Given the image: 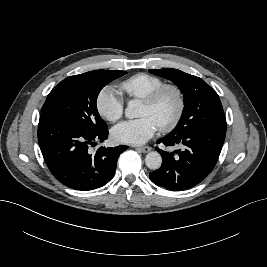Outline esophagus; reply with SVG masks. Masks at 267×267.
Instances as JSON below:
<instances>
[{"label": "esophagus", "mask_w": 267, "mask_h": 267, "mask_svg": "<svg viewBox=\"0 0 267 267\" xmlns=\"http://www.w3.org/2000/svg\"><path fill=\"white\" fill-rule=\"evenodd\" d=\"M137 150H139L140 152H143V153H147L151 150V147H149V146L138 147Z\"/></svg>", "instance_id": "1"}]
</instances>
